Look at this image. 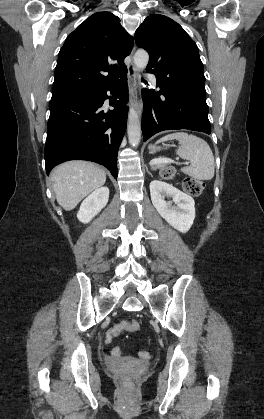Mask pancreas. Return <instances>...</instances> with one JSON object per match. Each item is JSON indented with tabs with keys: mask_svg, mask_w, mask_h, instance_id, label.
<instances>
[{
	"mask_svg": "<svg viewBox=\"0 0 264 419\" xmlns=\"http://www.w3.org/2000/svg\"><path fill=\"white\" fill-rule=\"evenodd\" d=\"M164 166H165V163H157V164L153 167V169L162 168V167H164Z\"/></svg>",
	"mask_w": 264,
	"mask_h": 419,
	"instance_id": "cf45deb5",
	"label": "pancreas"
}]
</instances>
